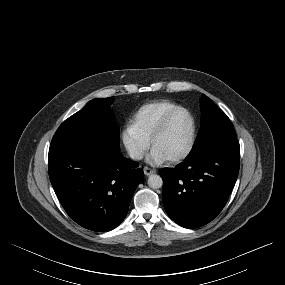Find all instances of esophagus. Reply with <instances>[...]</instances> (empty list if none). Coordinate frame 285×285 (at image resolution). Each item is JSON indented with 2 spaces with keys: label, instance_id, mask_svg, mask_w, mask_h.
Wrapping results in <instances>:
<instances>
[{
  "label": "esophagus",
  "instance_id": "1",
  "mask_svg": "<svg viewBox=\"0 0 285 285\" xmlns=\"http://www.w3.org/2000/svg\"><path fill=\"white\" fill-rule=\"evenodd\" d=\"M143 171L146 176H150L156 172L154 169H151L149 167H144Z\"/></svg>",
  "mask_w": 285,
  "mask_h": 285
}]
</instances>
